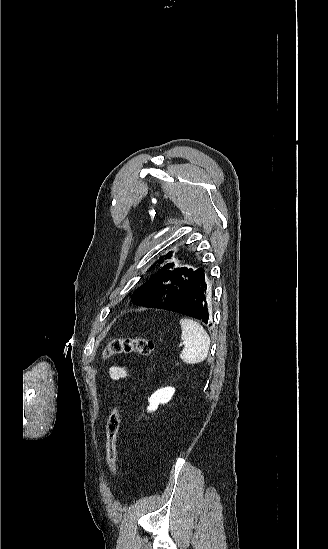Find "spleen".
I'll use <instances>...</instances> for the list:
<instances>
[{
  "mask_svg": "<svg viewBox=\"0 0 328 549\" xmlns=\"http://www.w3.org/2000/svg\"><path fill=\"white\" fill-rule=\"evenodd\" d=\"M181 341H185V347L180 359L188 365H196L205 361L209 347L210 337L202 325L192 319H181Z\"/></svg>",
  "mask_w": 328,
  "mask_h": 549,
  "instance_id": "spleen-1",
  "label": "spleen"
}]
</instances>
